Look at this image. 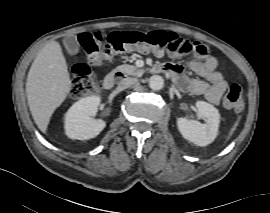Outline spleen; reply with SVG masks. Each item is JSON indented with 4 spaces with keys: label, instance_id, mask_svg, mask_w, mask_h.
<instances>
[{
    "label": "spleen",
    "instance_id": "obj_1",
    "mask_svg": "<svg viewBox=\"0 0 270 213\" xmlns=\"http://www.w3.org/2000/svg\"><path fill=\"white\" fill-rule=\"evenodd\" d=\"M238 125V121L233 125V127L231 128L230 132H229V136H231L233 134V132L235 131L236 127Z\"/></svg>",
    "mask_w": 270,
    "mask_h": 213
}]
</instances>
